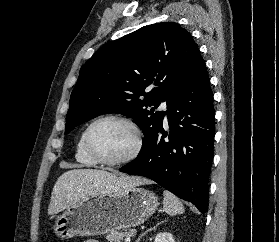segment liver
Instances as JSON below:
<instances>
[{
	"label": "liver",
	"mask_w": 279,
	"mask_h": 242,
	"mask_svg": "<svg viewBox=\"0 0 279 242\" xmlns=\"http://www.w3.org/2000/svg\"><path fill=\"white\" fill-rule=\"evenodd\" d=\"M147 183L149 181L145 178L117 176L104 170L72 169L57 179L52 190L48 214H57L88 196Z\"/></svg>",
	"instance_id": "obj_1"
}]
</instances>
